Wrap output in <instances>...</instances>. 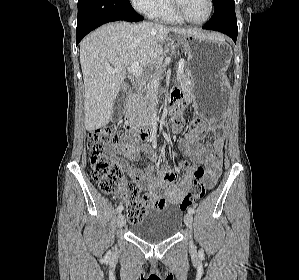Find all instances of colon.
Segmentation results:
<instances>
[{
	"mask_svg": "<svg viewBox=\"0 0 299 280\" xmlns=\"http://www.w3.org/2000/svg\"><path fill=\"white\" fill-rule=\"evenodd\" d=\"M201 125L202 120L194 118L191 125H188V128H186L185 136H196V133H202ZM125 137L126 134L122 129L114 127H103L90 132L91 175L102 192L117 194L119 196L125 194L124 198H120L126 205L127 219L130 223H136L145 216L147 206L143 198H139L137 185L124 178L121 164L106 151L107 147L120 143ZM194 174V186L179 205L183 211L193 205L197 200L203 198L206 191L212 187V183L204 179V166H197Z\"/></svg>",
	"mask_w": 299,
	"mask_h": 280,
	"instance_id": "5ec220e1",
	"label": "colon"
}]
</instances>
